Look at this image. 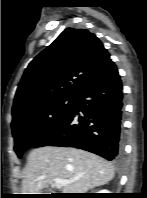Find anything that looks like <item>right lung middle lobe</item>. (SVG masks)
I'll return each mask as SVG.
<instances>
[{"label":"right lung middle lobe","instance_id":"dd1d6c3e","mask_svg":"<svg viewBox=\"0 0 147 198\" xmlns=\"http://www.w3.org/2000/svg\"><path fill=\"white\" fill-rule=\"evenodd\" d=\"M74 105V99H60L43 104L11 124L14 137V150L19 158L50 132L68 115Z\"/></svg>","mask_w":147,"mask_h":198}]
</instances>
